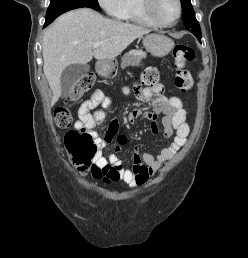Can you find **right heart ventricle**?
Here are the masks:
<instances>
[{
	"instance_id": "right-heart-ventricle-1",
	"label": "right heart ventricle",
	"mask_w": 248,
	"mask_h": 258,
	"mask_svg": "<svg viewBox=\"0 0 248 258\" xmlns=\"http://www.w3.org/2000/svg\"><path fill=\"white\" fill-rule=\"evenodd\" d=\"M142 4V0H126L125 10L120 19L145 26H154L146 17Z\"/></svg>"
}]
</instances>
